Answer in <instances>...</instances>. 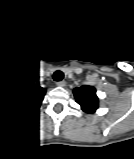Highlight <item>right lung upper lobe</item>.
<instances>
[{"instance_id": "right-lung-upper-lobe-1", "label": "right lung upper lobe", "mask_w": 134, "mask_h": 159, "mask_svg": "<svg viewBox=\"0 0 134 159\" xmlns=\"http://www.w3.org/2000/svg\"><path fill=\"white\" fill-rule=\"evenodd\" d=\"M42 97L43 89L41 87H28L17 98L18 108L23 113H33Z\"/></svg>"}]
</instances>
